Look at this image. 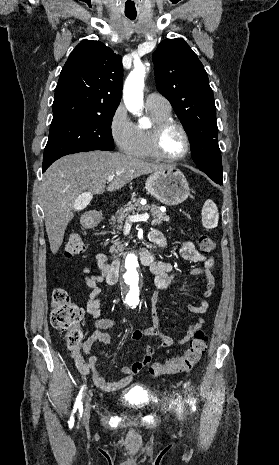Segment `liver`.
I'll return each instance as SVG.
<instances>
[{
	"label": "liver",
	"instance_id": "1",
	"mask_svg": "<svg viewBox=\"0 0 279 465\" xmlns=\"http://www.w3.org/2000/svg\"><path fill=\"white\" fill-rule=\"evenodd\" d=\"M164 168L167 166L108 151L82 152L55 161L45 171L40 187L51 252L56 254L62 245L67 225L77 210L74 203L85 191L102 194L105 190H119L137 177ZM109 176L114 179L108 181Z\"/></svg>",
	"mask_w": 279,
	"mask_h": 465
}]
</instances>
